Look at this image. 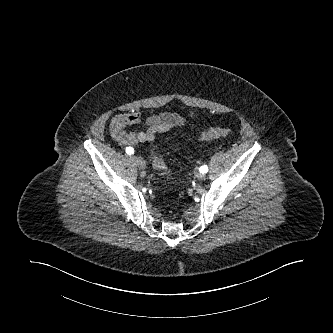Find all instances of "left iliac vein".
<instances>
[{
    "mask_svg": "<svg viewBox=\"0 0 333 333\" xmlns=\"http://www.w3.org/2000/svg\"><path fill=\"white\" fill-rule=\"evenodd\" d=\"M195 176H196V178L199 179V180H201V179L204 178V174L201 173V172H199V171L196 172Z\"/></svg>",
    "mask_w": 333,
    "mask_h": 333,
    "instance_id": "4c4485c4",
    "label": "left iliac vein"
}]
</instances>
